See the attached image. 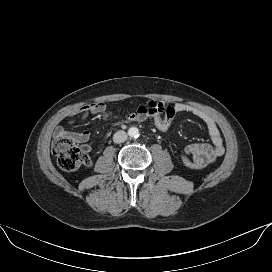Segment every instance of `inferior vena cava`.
Masks as SVG:
<instances>
[{
  "label": "inferior vena cava",
  "instance_id": "602c4592",
  "mask_svg": "<svg viewBox=\"0 0 272 272\" xmlns=\"http://www.w3.org/2000/svg\"><path fill=\"white\" fill-rule=\"evenodd\" d=\"M126 139H127L126 132L121 131V130L117 131L113 136V141L115 143H122V142L126 141Z\"/></svg>",
  "mask_w": 272,
  "mask_h": 272
}]
</instances>
